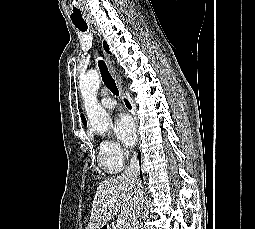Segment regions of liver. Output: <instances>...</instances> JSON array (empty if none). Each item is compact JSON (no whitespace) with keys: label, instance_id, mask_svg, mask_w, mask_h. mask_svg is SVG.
I'll list each match as a JSON object with an SVG mask.
<instances>
[{"label":"liver","instance_id":"obj_1","mask_svg":"<svg viewBox=\"0 0 255 229\" xmlns=\"http://www.w3.org/2000/svg\"><path fill=\"white\" fill-rule=\"evenodd\" d=\"M134 194L135 186L123 176L102 181L94 196L86 229H98L104 226L119 211L126 221Z\"/></svg>","mask_w":255,"mask_h":229}]
</instances>
